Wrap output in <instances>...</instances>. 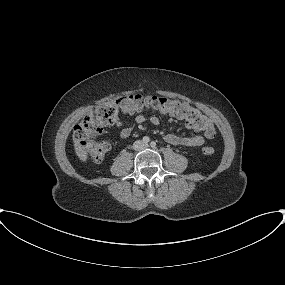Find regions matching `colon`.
<instances>
[{
  "instance_id": "colon-1",
  "label": "colon",
  "mask_w": 285,
  "mask_h": 285,
  "mask_svg": "<svg viewBox=\"0 0 285 285\" xmlns=\"http://www.w3.org/2000/svg\"><path fill=\"white\" fill-rule=\"evenodd\" d=\"M145 110L158 111L186 120L193 127L213 136L215 127L210 118L188 102L156 95L128 94L115 102L97 106L74 127V139L94 163L101 162L110 149L108 142L94 139L104 128L113 125L119 113H139ZM203 153H214L212 146H205Z\"/></svg>"
}]
</instances>
